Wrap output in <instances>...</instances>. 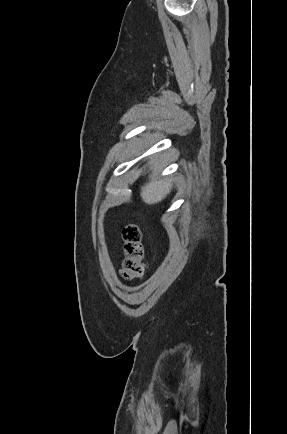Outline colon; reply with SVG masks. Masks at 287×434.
Returning <instances> with one entry per match:
<instances>
[{"label":"colon","instance_id":"obj_1","mask_svg":"<svg viewBox=\"0 0 287 434\" xmlns=\"http://www.w3.org/2000/svg\"><path fill=\"white\" fill-rule=\"evenodd\" d=\"M124 241V260L121 276L130 281L143 275L145 271L146 252L142 233L136 224H128L122 230Z\"/></svg>","mask_w":287,"mask_h":434}]
</instances>
